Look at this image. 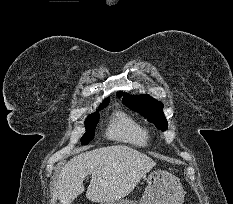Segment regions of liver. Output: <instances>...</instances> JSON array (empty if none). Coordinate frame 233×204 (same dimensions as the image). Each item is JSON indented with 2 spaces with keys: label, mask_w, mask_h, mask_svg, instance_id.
Masks as SVG:
<instances>
[{
  "label": "liver",
  "mask_w": 233,
  "mask_h": 204,
  "mask_svg": "<svg viewBox=\"0 0 233 204\" xmlns=\"http://www.w3.org/2000/svg\"><path fill=\"white\" fill-rule=\"evenodd\" d=\"M155 161L131 147L113 145L78 154L62 168L51 189L50 204L57 199L71 204L82 192L83 182L92 174L86 198L92 202L116 201L127 196Z\"/></svg>",
  "instance_id": "liver-1"
}]
</instances>
